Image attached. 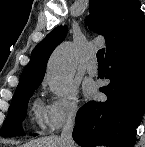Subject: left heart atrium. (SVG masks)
I'll use <instances>...</instances> for the list:
<instances>
[{
    "label": "left heart atrium",
    "mask_w": 145,
    "mask_h": 147,
    "mask_svg": "<svg viewBox=\"0 0 145 147\" xmlns=\"http://www.w3.org/2000/svg\"><path fill=\"white\" fill-rule=\"evenodd\" d=\"M94 91L92 89H87V95L92 96Z\"/></svg>",
    "instance_id": "1"
}]
</instances>
